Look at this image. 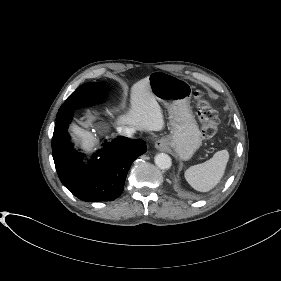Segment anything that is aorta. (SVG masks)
<instances>
[{
    "label": "aorta",
    "mask_w": 281,
    "mask_h": 281,
    "mask_svg": "<svg viewBox=\"0 0 281 281\" xmlns=\"http://www.w3.org/2000/svg\"><path fill=\"white\" fill-rule=\"evenodd\" d=\"M155 164L162 170H167L171 167L172 161L169 155L159 153L154 158Z\"/></svg>",
    "instance_id": "1"
}]
</instances>
